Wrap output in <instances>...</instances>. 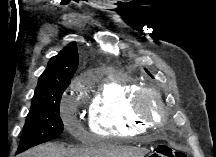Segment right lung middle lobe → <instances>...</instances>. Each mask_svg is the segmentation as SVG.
Instances as JSON below:
<instances>
[{
	"instance_id": "obj_1",
	"label": "right lung middle lobe",
	"mask_w": 216,
	"mask_h": 157,
	"mask_svg": "<svg viewBox=\"0 0 216 157\" xmlns=\"http://www.w3.org/2000/svg\"><path fill=\"white\" fill-rule=\"evenodd\" d=\"M66 87L51 96L32 102L20 139L17 153L47 142L63 132L59 105Z\"/></svg>"
}]
</instances>
